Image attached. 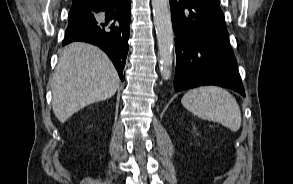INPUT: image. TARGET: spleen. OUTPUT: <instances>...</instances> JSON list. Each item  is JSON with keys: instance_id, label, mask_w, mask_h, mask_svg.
<instances>
[{"instance_id": "3e777b00", "label": "spleen", "mask_w": 293, "mask_h": 184, "mask_svg": "<svg viewBox=\"0 0 293 184\" xmlns=\"http://www.w3.org/2000/svg\"><path fill=\"white\" fill-rule=\"evenodd\" d=\"M183 106L201 119L218 122L232 131L241 126V111L236 99L226 89L203 86L188 91Z\"/></svg>"}]
</instances>
